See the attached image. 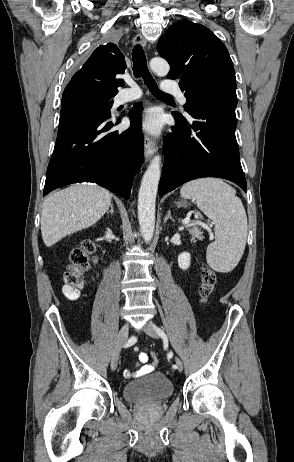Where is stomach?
<instances>
[{
	"instance_id": "obj_1",
	"label": "stomach",
	"mask_w": 294,
	"mask_h": 462,
	"mask_svg": "<svg viewBox=\"0 0 294 462\" xmlns=\"http://www.w3.org/2000/svg\"><path fill=\"white\" fill-rule=\"evenodd\" d=\"M180 205H181V203L179 202V203H178V206H180Z\"/></svg>"
}]
</instances>
